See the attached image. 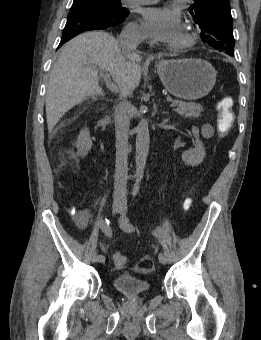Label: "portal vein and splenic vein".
<instances>
[{
	"mask_svg": "<svg viewBox=\"0 0 261 340\" xmlns=\"http://www.w3.org/2000/svg\"><path fill=\"white\" fill-rule=\"evenodd\" d=\"M100 75L104 78V82H105L107 88H108L111 92H114V93L118 92V87H117V85L111 81L110 75H109V73H108L107 71H104V70L101 71V72H100ZM176 106H177L176 103H171V104L169 105L170 108H174V107H176Z\"/></svg>",
	"mask_w": 261,
	"mask_h": 340,
	"instance_id": "1",
	"label": "portal vein and splenic vein"
}]
</instances>
